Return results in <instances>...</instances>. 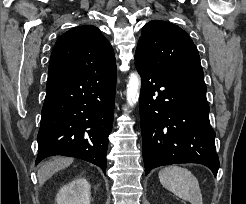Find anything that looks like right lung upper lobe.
Wrapping results in <instances>:
<instances>
[{"label": "right lung upper lobe", "instance_id": "right-lung-upper-lobe-1", "mask_svg": "<svg viewBox=\"0 0 246 204\" xmlns=\"http://www.w3.org/2000/svg\"><path fill=\"white\" fill-rule=\"evenodd\" d=\"M116 69L112 46L91 25L75 27L57 40L50 58L48 80Z\"/></svg>", "mask_w": 246, "mask_h": 204}]
</instances>
